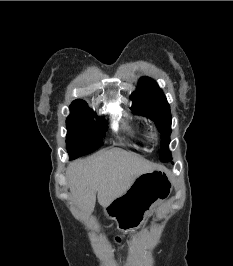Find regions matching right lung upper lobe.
<instances>
[{
  "mask_svg": "<svg viewBox=\"0 0 233 266\" xmlns=\"http://www.w3.org/2000/svg\"><path fill=\"white\" fill-rule=\"evenodd\" d=\"M81 101H83V100L78 99V100H75L72 104L78 103V102H81Z\"/></svg>",
  "mask_w": 233,
  "mask_h": 266,
  "instance_id": "right-lung-upper-lobe-1",
  "label": "right lung upper lobe"
}]
</instances>
